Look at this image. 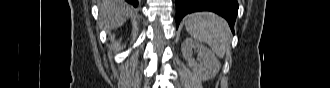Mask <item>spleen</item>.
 Masks as SVG:
<instances>
[{
  "label": "spleen",
  "instance_id": "spleen-1",
  "mask_svg": "<svg viewBox=\"0 0 330 88\" xmlns=\"http://www.w3.org/2000/svg\"><path fill=\"white\" fill-rule=\"evenodd\" d=\"M187 32L196 40L208 44L223 58L230 46V29L227 22L211 12L192 13L185 17Z\"/></svg>",
  "mask_w": 330,
  "mask_h": 88
}]
</instances>
